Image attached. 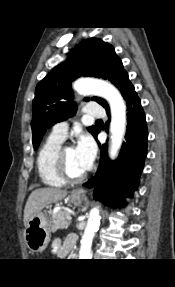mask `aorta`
I'll list each match as a JSON object with an SVG mask.
<instances>
[{
	"label": "aorta",
	"mask_w": 175,
	"mask_h": 287,
	"mask_svg": "<svg viewBox=\"0 0 175 287\" xmlns=\"http://www.w3.org/2000/svg\"><path fill=\"white\" fill-rule=\"evenodd\" d=\"M74 89L81 94H94L106 99L111 109L110 157L115 158L121 147L126 129V105L120 92L111 84L98 80L81 79L74 83ZM100 225L99 209L90 211L86 228L81 240L79 259H91L92 241Z\"/></svg>",
	"instance_id": "1"
}]
</instances>
